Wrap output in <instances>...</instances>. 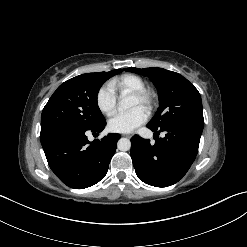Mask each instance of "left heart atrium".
Here are the masks:
<instances>
[{
    "instance_id": "left-heart-atrium-1",
    "label": "left heart atrium",
    "mask_w": 247,
    "mask_h": 247,
    "mask_svg": "<svg viewBox=\"0 0 247 247\" xmlns=\"http://www.w3.org/2000/svg\"><path fill=\"white\" fill-rule=\"evenodd\" d=\"M147 119L144 108L137 106L127 112L114 115L108 122L109 129L118 133H129L142 125Z\"/></svg>"
}]
</instances>
